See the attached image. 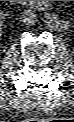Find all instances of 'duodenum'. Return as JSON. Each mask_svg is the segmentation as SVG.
I'll return each mask as SVG.
<instances>
[{
    "label": "duodenum",
    "mask_w": 74,
    "mask_h": 122,
    "mask_svg": "<svg viewBox=\"0 0 74 122\" xmlns=\"http://www.w3.org/2000/svg\"><path fill=\"white\" fill-rule=\"evenodd\" d=\"M20 2H22L24 5H27V6H29V7H33V1H20Z\"/></svg>",
    "instance_id": "410a0bca"
}]
</instances>
